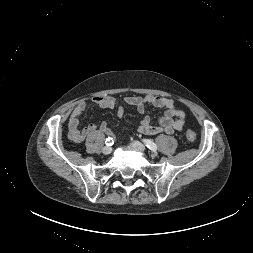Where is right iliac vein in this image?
<instances>
[{
  "mask_svg": "<svg viewBox=\"0 0 253 253\" xmlns=\"http://www.w3.org/2000/svg\"><path fill=\"white\" fill-rule=\"evenodd\" d=\"M102 152L105 155H109L112 152V148L109 146H105V147H103Z\"/></svg>",
  "mask_w": 253,
  "mask_h": 253,
  "instance_id": "63e3f726",
  "label": "right iliac vein"
}]
</instances>
